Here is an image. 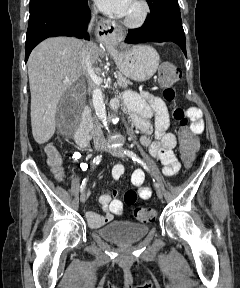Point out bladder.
I'll use <instances>...</instances> for the list:
<instances>
[{
  "label": "bladder",
  "mask_w": 240,
  "mask_h": 288,
  "mask_svg": "<svg viewBox=\"0 0 240 288\" xmlns=\"http://www.w3.org/2000/svg\"><path fill=\"white\" fill-rule=\"evenodd\" d=\"M148 232L149 227L146 224L127 220H114L97 230L102 238L115 243L138 241L144 238Z\"/></svg>",
  "instance_id": "bladder-1"
}]
</instances>
